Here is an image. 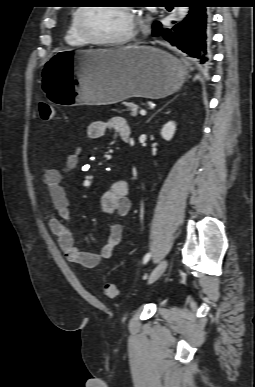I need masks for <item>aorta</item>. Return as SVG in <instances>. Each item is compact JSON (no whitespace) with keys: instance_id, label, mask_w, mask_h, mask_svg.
Masks as SVG:
<instances>
[{"instance_id":"762f6f07","label":"aorta","mask_w":255,"mask_h":387,"mask_svg":"<svg viewBox=\"0 0 255 387\" xmlns=\"http://www.w3.org/2000/svg\"><path fill=\"white\" fill-rule=\"evenodd\" d=\"M189 12L188 7H178L179 20L183 19Z\"/></svg>"}]
</instances>
